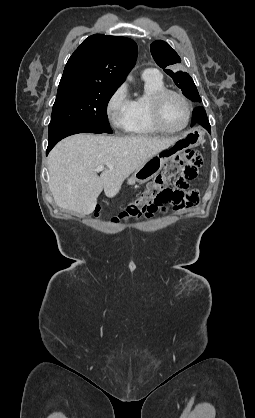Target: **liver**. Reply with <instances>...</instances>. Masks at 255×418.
I'll return each instance as SVG.
<instances>
[{
    "label": "liver",
    "mask_w": 255,
    "mask_h": 418,
    "mask_svg": "<svg viewBox=\"0 0 255 418\" xmlns=\"http://www.w3.org/2000/svg\"><path fill=\"white\" fill-rule=\"evenodd\" d=\"M178 139L93 134L67 137L48 156L49 188L56 205L92 213L102 190L109 198L116 196L127 177ZM98 165L107 167L100 176L95 171Z\"/></svg>",
    "instance_id": "liver-1"
}]
</instances>
